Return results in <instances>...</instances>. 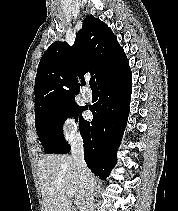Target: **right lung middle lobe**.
I'll list each match as a JSON object with an SVG mask.
<instances>
[{"label": "right lung middle lobe", "instance_id": "obj_1", "mask_svg": "<svg viewBox=\"0 0 178 211\" xmlns=\"http://www.w3.org/2000/svg\"><path fill=\"white\" fill-rule=\"evenodd\" d=\"M83 110L73 100L50 105L35 114L37 134L46 153H55L66 144L61 133L62 125L67 117L78 119V114ZM83 122L80 114L79 128Z\"/></svg>", "mask_w": 178, "mask_h": 211}]
</instances>
